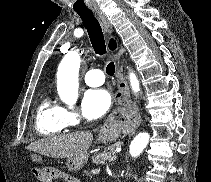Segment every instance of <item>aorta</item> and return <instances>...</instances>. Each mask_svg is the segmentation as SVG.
I'll list each match as a JSON object with an SVG mask.
<instances>
[{"mask_svg": "<svg viewBox=\"0 0 211 182\" xmlns=\"http://www.w3.org/2000/svg\"><path fill=\"white\" fill-rule=\"evenodd\" d=\"M81 59L76 52L67 53L62 59L57 71V91L60 99L70 107L78 99V74ZM130 85L134 93L140 91L139 81L135 73L129 74ZM150 135L146 132L139 133L131 142L129 153L132 157H138L146 148Z\"/></svg>", "mask_w": 211, "mask_h": 182, "instance_id": "1", "label": "aorta"}]
</instances>
